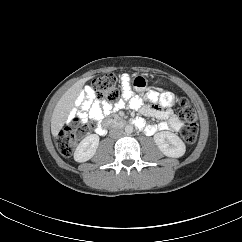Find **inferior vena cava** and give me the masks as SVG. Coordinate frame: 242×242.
Returning a JSON list of instances; mask_svg holds the SVG:
<instances>
[{"label":"inferior vena cava","mask_w":242,"mask_h":242,"mask_svg":"<svg viewBox=\"0 0 242 242\" xmlns=\"http://www.w3.org/2000/svg\"><path fill=\"white\" fill-rule=\"evenodd\" d=\"M123 134V130L121 128H113L110 130V136L112 138H118Z\"/></svg>","instance_id":"1"}]
</instances>
